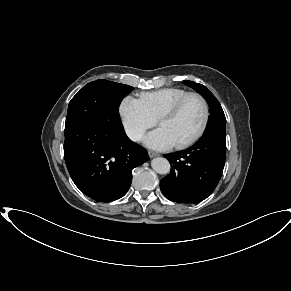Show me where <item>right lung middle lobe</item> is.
<instances>
[{"mask_svg":"<svg viewBox=\"0 0 291 291\" xmlns=\"http://www.w3.org/2000/svg\"><path fill=\"white\" fill-rule=\"evenodd\" d=\"M132 90L131 86L108 80L90 82L70 101L66 122L74 120L94 125L102 120L119 118V105Z\"/></svg>","mask_w":291,"mask_h":291,"instance_id":"obj_1","label":"right lung middle lobe"}]
</instances>
